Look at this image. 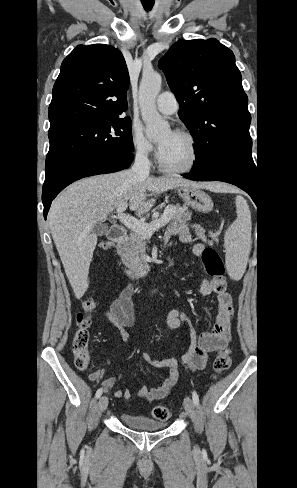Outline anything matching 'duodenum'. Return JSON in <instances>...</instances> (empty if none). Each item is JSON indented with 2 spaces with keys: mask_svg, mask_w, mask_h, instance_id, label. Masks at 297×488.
Returning a JSON list of instances; mask_svg holds the SVG:
<instances>
[{
  "mask_svg": "<svg viewBox=\"0 0 297 488\" xmlns=\"http://www.w3.org/2000/svg\"><path fill=\"white\" fill-rule=\"evenodd\" d=\"M126 230L120 225H112L109 233L108 238L114 243L121 245L125 238H126ZM150 271V265L146 264L137 268L126 267L125 272L126 275L131 279H141L145 277Z\"/></svg>",
  "mask_w": 297,
  "mask_h": 488,
  "instance_id": "410a0bca",
  "label": "duodenum"
}]
</instances>
